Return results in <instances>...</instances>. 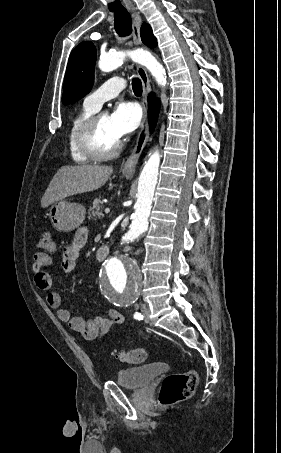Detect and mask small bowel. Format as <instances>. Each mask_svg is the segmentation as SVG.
Here are the masks:
<instances>
[{
    "instance_id": "obj_1",
    "label": "small bowel",
    "mask_w": 281,
    "mask_h": 453,
    "mask_svg": "<svg viewBox=\"0 0 281 453\" xmlns=\"http://www.w3.org/2000/svg\"><path fill=\"white\" fill-rule=\"evenodd\" d=\"M87 241V229L80 227L74 234L72 243L63 247L62 271L64 274L71 275L75 271L76 262ZM100 245L105 244L102 243ZM51 263L52 257L44 252H38L33 255L32 268L34 282L40 290L47 292L46 299L52 308L57 309L58 318L62 322H67L72 330L80 333L87 340L98 339L104 336L115 324H121L123 322V316L115 311L109 317L96 315L86 321L81 317L73 316L70 310L62 308L60 294L49 291L52 285L49 274Z\"/></svg>"
}]
</instances>
